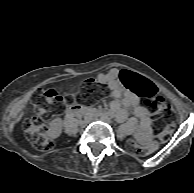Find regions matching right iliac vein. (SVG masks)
Returning a JSON list of instances; mask_svg holds the SVG:
<instances>
[{
  "label": "right iliac vein",
  "instance_id": "right-iliac-vein-1",
  "mask_svg": "<svg viewBox=\"0 0 194 193\" xmlns=\"http://www.w3.org/2000/svg\"><path fill=\"white\" fill-rule=\"evenodd\" d=\"M82 126L84 127V126H86V123L84 122V123H82Z\"/></svg>",
  "mask_w": 194,
  "mask_h": 193
}]
</instances>
